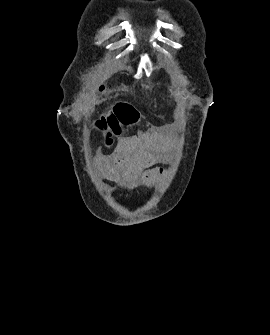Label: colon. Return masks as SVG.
Here are the masks:
<instances>
[{"label":"colon","instance_id":"5ec220e1","mask_svg":"<svg viewBox=\"0 0 270 335\" xmlns=\"http://www.w3.org/2000/svg\"><path fill=\"white\" fill-rule=\"evenodd\" d=\"M117 107H126L128 110H116L115 116H106V123H115V127L109 128L110 134H120L122 127H125L131 123L137 122V117L140 116V111L135 110L132 106L126 103H118ZM104 111H99V116L94 117L95 123H103L104 122ZM125 122V124H122ZM105 147H110V142H105Z\"/></svg>","mask_w":270,"mask_h":335}]
</instances>
